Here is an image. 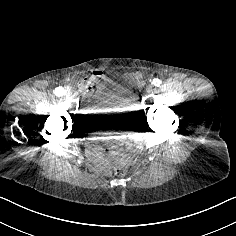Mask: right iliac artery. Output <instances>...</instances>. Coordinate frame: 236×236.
I'll return each mask as SVG.
<instances>
[{
  "label": "right iliac artery",
  "mask_w": 236,
  "mask_h": 236,
  "mask_svg": "<svg viewBox=\"0 0 236 236\" xmlns=\"http://www.w3.org/2000/svg\"><path fill=\"white\" fill-rule=\"evenodd\" d=\"M54 94H55L57 97H60V96L65 95V94H66V91L64 90V88H63L62 86H59V87L55 88Z\"/></svg>",
  "instance_id": "right-iliac-artery-1"
}]
</instances>
